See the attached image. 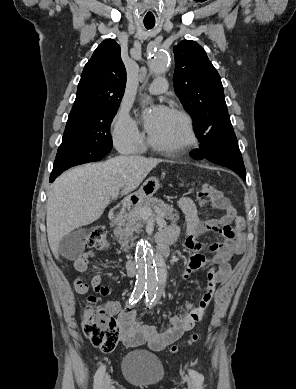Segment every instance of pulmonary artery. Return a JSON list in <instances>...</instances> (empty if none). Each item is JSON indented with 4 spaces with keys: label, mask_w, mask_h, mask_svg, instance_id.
Masks as SVG:
<instances>
[{
    "label": "pulmonary artery",
    "mask_w": 296,
    "mask_h": 389,
    "mask_svg": "<svg viewBox=\"0 0 296 389\" xmlns=\"http://www.w3.org/2000/svg\"><path fill=\"white\" fill-rule=\"evenodd\" d=\"M167 90V81L163 77H157L153 80V82L149 85L148 91L151 94H160Z\"/></svg>",
    "instance_id": "pulmonary-artery-1"
}]
</instances>
